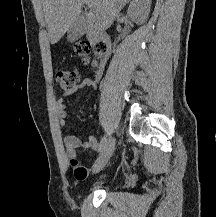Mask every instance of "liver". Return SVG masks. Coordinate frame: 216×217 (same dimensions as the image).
Segmentation results:
<instances>
[{"mask_svg": "<svg viewBox=\"0 0 216 217\" xmlns=\"http://www.w3.org/2000/svg\"><path fill=\"white\" fill-rule=\"evenodd\" d=\"M130 0H43V11L51 44L57 43L80 19L81 6L86 3L90 11L84 24L96 31H105L114 22L121 9Z\"/></svg>", "mask_w": 216, "mask_h": 217, "instance_id": "obj_1", "label": "liver"}]
</instances>
